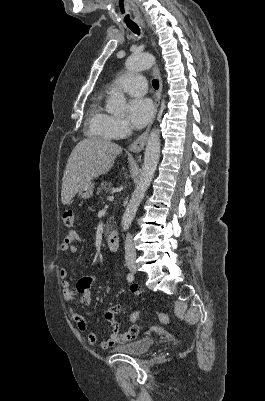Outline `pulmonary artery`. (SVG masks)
<instances>
[{"instance_id": "1", "label": "pulmonary artery", "mask_w": 265, "mask_h": 401, "mask_svg": "<svg viewBox=\"0 0 265 401\" xmlns=\"http://www.w3.org/2000/svg\"><path fill=\"white\" fill-rule=\"evenodd\" d=\"M143 75H131L130 81H126V77H121V81H114L107 87L109 92L120 89L124 90L126 95H136V99H141V96L146 93L144 90Z\"/></svg>"}]
</instances>
